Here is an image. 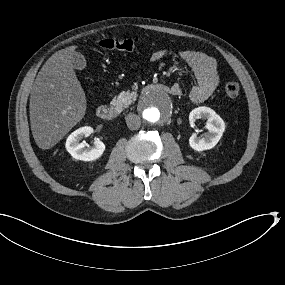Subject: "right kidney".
<instances>
[{
  "label": "right kidney",
  "instance_id": "ca27d5eb",
  "mask_svg": "<svg viewBox=\"0 0 285 285\" xmlns=\"http://www.w3.org/2000/svg\"><path fill=\"white\" fill-rule=\"evenodd\" d=\"M94 132L92 127H81L72 132L66 140V150L77 160L93 161L98 159L105 150V145L99 139H95L94 145L89 146L85 142L79 141L85 136L88 137Z\"/></svg>",
  "mask_w": 285,
  "mask_h": 285
}]
</instances>
